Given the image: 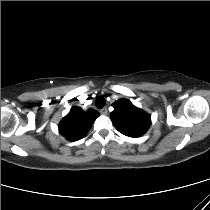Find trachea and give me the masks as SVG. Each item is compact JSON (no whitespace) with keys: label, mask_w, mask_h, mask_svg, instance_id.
<instances>
[{"label":"trachea","mask_w":210,"mask_h":210,"mask_svg":"<svg viewBox=\"0 0 210 210\" xmlns=\"http://www.w3.org/2000/svg\"><path fill=\"white\" fill-rule=\"evenodd\" d=\"M105 104H106V101L102 96H99L98 98H96L95 105L97 108H103Z\"/></svg>","instance_id":"3493384b"}]
</instances>
